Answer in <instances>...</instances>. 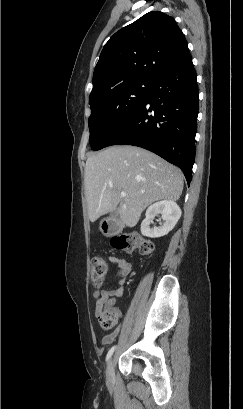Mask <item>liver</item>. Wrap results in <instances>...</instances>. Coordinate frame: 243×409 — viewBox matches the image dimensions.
<instances>
[{
  "mask_svg": "<svg viewBox=\"0 0 243 409\" xmlns=\"http://www.w3.org/2000/svg\"><path fill=\"white\" fill-rule=\"evenodd\" d=\"M182 191V171L139 147L111 146L86 161L85 196L91 222L117 209L121 223L134 227L147 206L159 200L176 201Z\"/></svg>",
  "mask_w": 243,
  "mask_h": 409,
  "instance_id": "obj_1",
  "label": "liver"
}]
</instances>
